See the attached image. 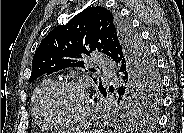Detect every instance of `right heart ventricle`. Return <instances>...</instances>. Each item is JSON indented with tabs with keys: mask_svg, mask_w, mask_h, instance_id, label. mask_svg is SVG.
I'll use <instances>...</instances> for the list:
<instances>
[{
	"mask_svg": "<svg viewBox=\"0 0 184 133\" xmlns=\"http://www.w3.org/2000/svg\"><path fill=\"white\" fill-rule=\"evenodd\" d=\"M52 78L44 79L35 89L32 98V110L36 121L44 126L50 127L53 123L47 118L43 111L42 99L46 90L54 83Z\"/></svg>",
	"mask_w": 184,
	"mask_h": 133,
	"instance_id": "obj_1",
	"label": "right heart ventricle"
}]
</instances>
